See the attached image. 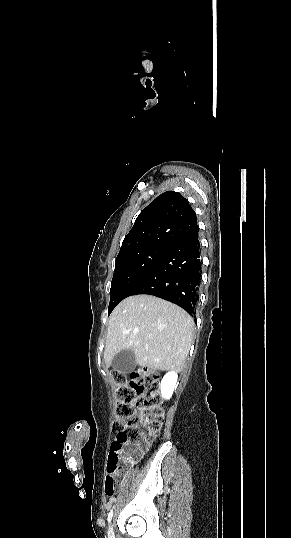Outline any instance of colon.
<instances>
[{
	"label": "colon",
	"instance_id": "obj_1",
	"mask_svg": "<svg viewBox=\"0 0 291 538\" xmlns=\"http://www.w3.org/2000/svg\"><path fill=\"white\" fill-rule=\"evenodd\" d=\"M116 407L111 445L105 477V491H117L128 466L141 457L157 437L165 410L159 392L157 373L139 369L129 376L116 373Z\"/></svg>",
	"mask_w": 291,
	"mask_h": 538
}]
</instances>
